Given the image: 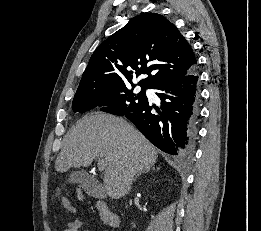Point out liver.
I'll list each match as a JSON object with an SVG mask.
<instances>
[{
	"label": "liver",
	"instance_id": "1",
	"mask_svg": "<svg viewBox=\"0 0 261 231\" xmlns=\"http://www.w3.org/2000/svg\"><path fill=\"white\" fill-rule=\"evenodd\" d=\"M107 160L102 190L118 199L131 189L135 174L156 163V148L123 118L94 113L77 121L63 139L55 169L89 166L95 157Z\"/></svg>",
	"mask_w": 261,
	"mask_h": 231
}]
</instances>
